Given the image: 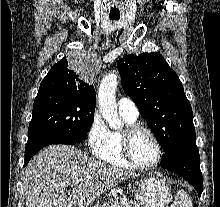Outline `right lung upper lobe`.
Masks as SVG:
<instances>
[{
	"instance_id": "obj_1",
	"label": "right lung upper lobe",
	"mask_w": 220,
	"mask_h": 207,
	"mask_svg": "<svg viewBox=\"0 0 220 207\" xmlns=\"http://www.w3.org/2000/svg\"><path fill=\"white\" fill-rule=\"evenodd\" d=\"M39 91H63L96 99L93 85H88L69 69L66 57L58 61L40 84Z\"/></svg>"
}]
</instances>
